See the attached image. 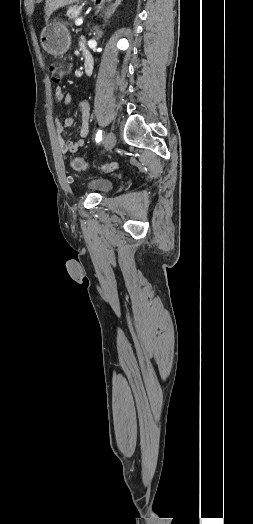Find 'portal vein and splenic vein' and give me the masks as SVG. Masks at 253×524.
I'll use <instances>...</instances> for the list:
<instances>
[{"label": "portal vein and splenic vein", "instance_id": "obj_1", "mask_svg": "<svg viewBox=\"0 0 253 524\" xmlns=\"http://www.w3.org/2000/svg\"><path fill=\"white\" fill-rule=\"evenodd\" d=\"M82 23H83V19H82V18H77V19L75 20V25H76V26H80V25H82Z\"/></svg>", "mask_w": 253, "mask_h": 524}]
</instances>
